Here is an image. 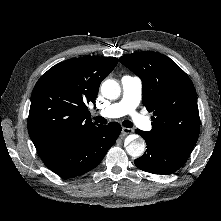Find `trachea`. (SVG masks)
<instances>
[{
    "instance_id": "1",
    "label": "trachea",
    "mask_w": 221,
    "mask_h": 221,
    "mask_svg": "<svg viewBox=\"0 0 221 221\" xmlns=\"http://www.w3.org/2000/svg\"><path fill=\"white\" fill-rule=\"evenodd\" d=\"M94 120L97 123L107 124V120L104 117H101V116L94 117ZM122 125L126 128H132L133 127V123L131 121H128V120L123 121Z\"/></svg>"
}]
</instances>
